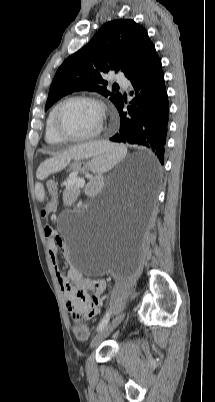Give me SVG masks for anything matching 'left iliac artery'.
Returning <instances> with one entry per match:
<instances>
[{
  "mask_svg": "<svg viewBox=\"0 0 215 402\" xmlns=\"http://www.w3.org/2000/svg\"><path fill=\"white\" fill-rule=\"evenodd\" d=\"M109 319H110V313L109 311H107L102 320L100 321V323L98 324L97 331L103 329L108 324Z\"/></svg>",
  "mask_w": 215,
  "mask_h": 402,
  "instance_id": "obj_1",
  "label": "left iliac artery"
}]
</instances>
